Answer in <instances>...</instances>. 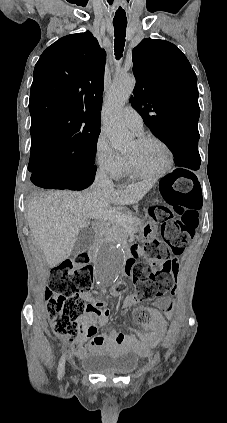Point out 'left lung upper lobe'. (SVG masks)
I'll list each match as a JSON object with an SVG mask.
<instances>
[{
	"label": "left lung upper lobe",
	"mask_w": 227,
	"mask_h": 423,
	"mask_svg": "<svg viewBox=\"0 0 227 423\" xmlns=\"http://www.w3.org/2000/svg\"><path fill=\"white\" fill-rule=\"evenodd\" d=\"M132 59L136 86L130 101L152 133L164 141L198 132L197 77L182 51L148 38L133 49Z\"/></svg>",
	"instance_id": "obj_1"
}]
</instances>
